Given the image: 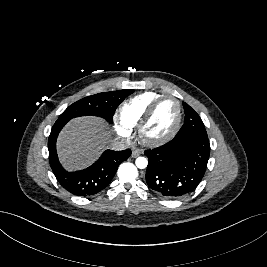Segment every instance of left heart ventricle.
I'll use <instances>...</instances> for the list:
<instances>
[{"label": "left heart ventricle", "mask_w": 267, "mask_h": 267, "mask_svg": "<svg viewBox=\"0 0 267 267\" xmlns=\"http://www.w3.org/2000/svg\"><path fill=\"white\" fill-rule=\"evenodd\" d=\"M177 120V104L172 99L163 100L156 108L145 129L149 138H160L168 134Z\"/></svg>", "instance_id": "obj_1"}]
</instances>
